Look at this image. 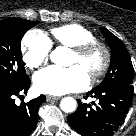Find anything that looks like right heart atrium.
I'll use <instances>...</instances> for the list:
<instances>
[{
    "instance_id": "1",
    "label": "right heart atrium",
    "mask_w": 136,
    "mask_h": 136,
    "mask_svg": "<svg viewBox=\"0 0 136 136\" xmlns=\"http://www.w3.org/2000/svg\"><path fill=\"white\" fill-rule=\"evenodd\" d=\"M21 51L25 66L34 69L47 61L51 51V42L41 31L31 30L22 39Z\"/></svg>"
}]
</instances>
